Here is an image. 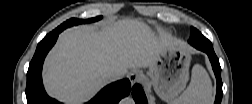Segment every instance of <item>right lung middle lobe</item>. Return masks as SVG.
Returning a JSON list of instances; mask_svg holds the SVG:
<instances>
[{
  "instance_id": "1",
  "label": "right lung middle lobe",
  "mask_w": 252,
  "mask_h": 104,
  "mask_svg": "<svg viewBox=\"0 0 252 104\" xmlns=\"http://www.w3.org/2000/svg\"><path fill=\"white\" fill-rule=\"evenodd\" d=\"M102 17H95V18H91V19H69L66 22H64L63 24H61L59 27H57L56 29H61L64 30L68 27L74 26V25H78L81 23H90V22H95L97 20H100Z\"/></svg>"
}]
</instances>
